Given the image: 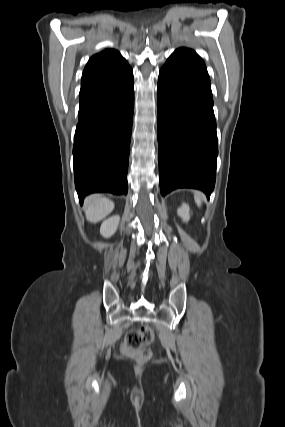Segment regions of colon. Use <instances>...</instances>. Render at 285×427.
Here are the masks:
<instances>
[{
    "label": "colon",
    "instance_id": "obj_1",
    "mask_svg": "<svg viewBox=\"0 0 285 427\" xmlns=\"http://www.w3.org/2000/svg\"><path fill=\"white\" fill-rule=\"evenodd\" d=\"M154 341V332L148 327H140L127 332L124 340V351L132 354L139 361H147L152 357L150 345Z\"/></svg>",
    "mask_w": 285,
    "mask_h": 427
}]
</instances>
